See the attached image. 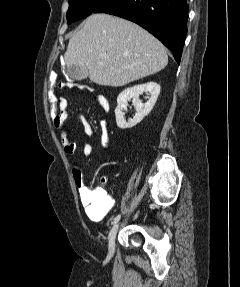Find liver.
I'll return each instance as SVG.
<instances>
[{
  "label": "liver",
  "mask_w": 240,
  "mask_h": 287,
  "mask_svg": "<svg viewBox=\"0 0 240 287\" xmlns=\"http://www.w3.org/2000/svg\"><path fill=\"white\" fill-rule=\"evenodd\" d=\"M64 61L67 67H86L96 84L120 87L159 72L168 56L163 44L139 25L93 14L70 38Z\"/></svg>",
  "instance_id": "liver-1"
}]
</instances>
